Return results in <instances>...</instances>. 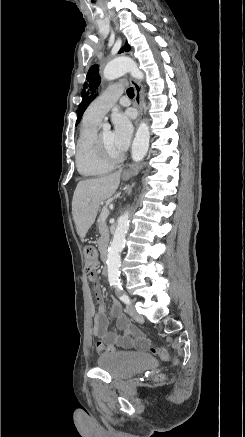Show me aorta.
I'll return each mask as SVG.
<instances>
[{"label": "aorta", "instance_id": "762f6f07", "mask_svg": "<svg viewBox=\"0 0 245 437\" xmlns=\"http://www.w3.org/2000/svg\"><path fill=\"white\" fill-rule=\"evenodd\" d=\"M126 73H130L137 79L144 77L134 60L129 57H120L108 63L103 71V76L107 80H113ZM149 140V127L145 122H141L132 143L131 155L133 161L139 162L145 157L148 152ZM128 230L129 212H125L118 218L117 227L108 249L107 266L108 279L110 282H117L119 280L120 253L124 248L125 236Z\"/></svg>", "mask_w": 245, "mask_h": 437}]
</instances>
